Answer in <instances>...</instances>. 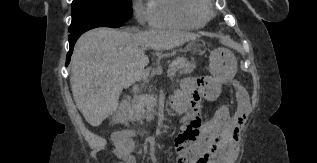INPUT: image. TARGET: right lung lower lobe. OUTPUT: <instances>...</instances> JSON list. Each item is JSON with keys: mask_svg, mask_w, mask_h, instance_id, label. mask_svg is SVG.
Listing matches in <instances>:
<instances>
[{"mask_svg": "<svg viewBox=\"0 0 317 163\" xmlns=\"http://www.w3.org/2000/svg\"><path fill=\"white\" fill-rule=\"evenodd\" d=\"M121 25L120 24H104V25H100L98 27H112V28H117V27H120ZM82 34V33H81ZM81 34H78L72 38H69V44H70V50L67 54V60H66V66L69 64L70 62V56L73 52V47H74V44L75 42L77 41V39L80 37Z\"/></svg>", "mask_w": 317, "mask_h": 163, "instance_id": "right-lung-lower-lobe-1", "label": "right lung lower lobe"}]
</instances>
